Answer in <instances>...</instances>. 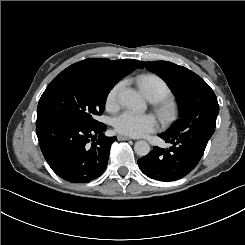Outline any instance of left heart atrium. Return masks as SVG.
<instances>
[{"instance_id": "1", "label": "left heart atrium", "mask_w": 245, "mask_h": 245, "mask_svg": "<svg viewBox=\"0 0 245 245\" xmlns=\"http://www.w3.org/2000/svg\"><path fill=\"white\" fill-rule=\"evenodd\" d=\"M158 127L159 123L156 117L151 114L126 110L115 118L116 130L131 137L144 136L157 130Z\"/></svg>"}]
</instances>
